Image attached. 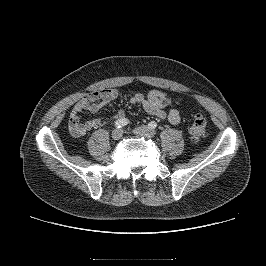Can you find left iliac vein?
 Wrapping results in <instances>:
<instances>
[{
  "mask_svg": "<svg viewBox=\"0 0 266 266\" xmlns=\"http://www.w3.org/2000/svg\"><path fill=\"white\" fill-rule=\"evenodd\" d=\"M133 132L137 136H144L147 138H151L155 136V131L147 126L136 127Z\"/></svg>",
  "mask_w": 266,
  "mask_h": 266,
  "instance_id": "obj_1",
  "label": "left iliac vein"
}]
</instances>
